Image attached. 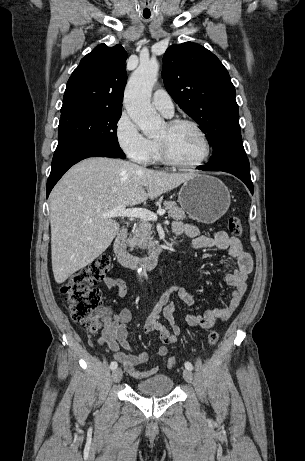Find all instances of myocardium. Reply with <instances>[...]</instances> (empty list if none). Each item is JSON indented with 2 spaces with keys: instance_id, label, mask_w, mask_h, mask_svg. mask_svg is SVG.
Returning a JSON list of instances; mask_svg holds the SVG:
<instances>
[{
  "instance_id": "obj_1",
  "label": "myocardium",
  "mask_w": 305,
  "mask_h": 461,
  "mask_svg": "<svg viewBox=\"0 0 305 461\" xmlns=\"http://www.w3.org/2000/svg\"><path fill=\"white\" fill-rule=\"evenodd\" d=\"M167 125H168V127L170 129H176V128H178L180 126H183V125H188V126L193 127L197 131V133L200 135V137H201V139L203 141L204 153H203L202 157L199 160H197L195 162H192V163H184V162L179 161L178 159H176L173 156V154L170 151L169 145L167 144L166 141L158 139L160 152H161V155H162V158H163L164 162H166V163H168V164H170V165H172L174 167L181 168V169H195V168H198L201 165H203L207 161L209 156H210L211 144H210V141L208 139L207 134L202 129V127L197 122H195V121H193L191 119H186V118H178V119L170 120L167 123Z\"/></svg>"
}]
</instances>
